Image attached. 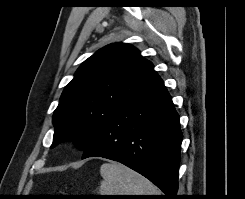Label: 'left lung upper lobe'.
<instances>
[{"label":"left lung upper lobe","mask_w":245,"mask_h":199,"mask_svg":"<svg viewBox=\"0 0 245 199\" xmlns=\"http://www.w3.org/2000/svg\"><path fill=\"white\" fill-rule=\"evenodd\" d=\"M157 76L153 64L126 43L107 45L82 63L65 87L53 115L51 148L74 139L86 151L104 123Z\"/></svg>","instance_id":"left-lung-upper-lobe-1"}]
</instances>
